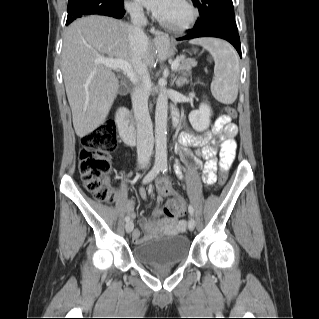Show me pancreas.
I'll return each mask as SVG.
<instances>
[{
	"instance_id": "cf45deb5",
	"label": "pancreas",
	"mask_w": 319,
	"mask_h": 319,
	"mask_svg": "<svg viewBox=\"0 0 319 319\" xmlns=\"http://www.w3.org/2000/svg\"><path fill=\"white\" fill-rule=\"evenodd\" d=\"M196 64V61L193 59L181 58L177 71L181 72L183 75H187L191 72L192 67L196 66Z\"/></svg>"
}]
</instances>
